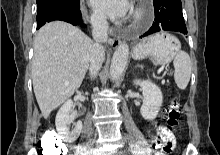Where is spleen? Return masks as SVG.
<instances>
[{
  "label": "spleen",
  "instance_id": "spleen-1",
  "mask_svg": "<svg viewBox=\"0 0 220 155\" xmlns=\"http://www.w3.org/2000/svg\"><path fill=\"white\" fill-rule=\"evenodd\" d=\"M175 68L174 80L177 87L185 90L191 76L192 64L189 55L185 51H179L173 61Z\"/></svg>",
  "mask_w": 220,
  "mask_h": 155
}]
</instances>
